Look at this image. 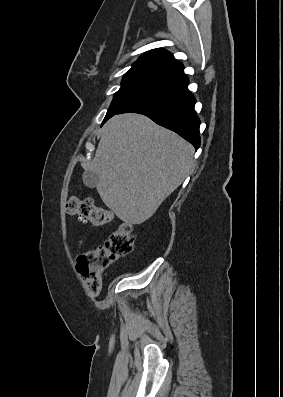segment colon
Returning a JSON list of instances; mask_svg holds the SVG:
<instances>
[{
	"label": "colon",
	"mask_w": 283,
	"mask_h": 397,
	"mask_svg": "<svg viewBox=\"0 0 283 397\" xmlns=\"http://www.w3.org/2000/svg\"><path fill=\"white\" fill-rule=\"evenodd\" d=\"M66 212L95 226H104L114 218L111 211L97 206L89 198L70 197L66 203ZM133 247V227L129 223L121 222L103 245L88 250L78 257L77 269L90 295L97 296L100 293L103 271L120 257L129 254Z\"/></svg>",
	"instance_id": "1"
}]
</instances>
